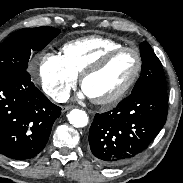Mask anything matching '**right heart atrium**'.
<instances>
[{
    "instance_id": "obj_1",
    "label": "right heart atrium",
    "mask_w": 183,
    "mask_h": 183,
    "mask_svg": "<svg viewBox=\"0 0 183 183\" xmlns=\"http://www.w3.org/2000/svg\"><path fill=\"white\" fill-rule=\"evenodd\" d=\"M36 62L44 92L55 101H64L75 87L78 76L60 54L41 52L36 56Z\"/></svg>"
}]
</instances>
